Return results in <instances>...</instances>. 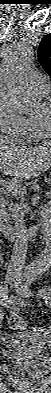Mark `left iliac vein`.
Listing matches in <instances>:
<instances>
[{"mask_svg":"<svg viewBox=\"0 0 51 393\" xmlns=\"http://www.w3.org/2000/svg\"><path fill=\"white\" fill-rule=\"evenodd\" d=\"M21 286L22 284H18L17 282L11 283V287L14 288L19 295L25 296L23 293V289H21Z\"/></svg>","mask_w":51,"mask_h":393,"instance_id":"4c4485c4","label":"left iliac vein"}]
</instances>
